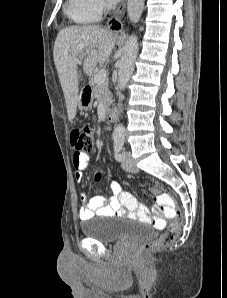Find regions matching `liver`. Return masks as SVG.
Segmentation results:
<instances>
[{"mask_svg":"<svg viewBox=\"0 0 227 298\" xmlns=\"http://www.w3.org/2000/svg\"><path fill=\"white\" fill-rule=\"evenodd\" d=\"M113 34L98 26H76L59 31L53 57L64 93L69 121L76 116L79 101V73L76 60L86 53L83 71L91 76L96 65L107 63L114 49Z\"/></svg>","mask_w":227,"mask_h":298,"instance_id":"1","label":"liver"}]
</instances>
